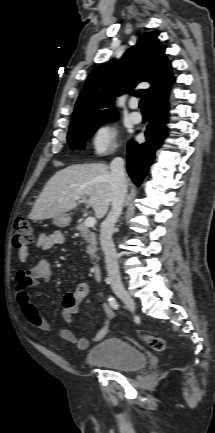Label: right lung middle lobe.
<instances>
[{
	"label": "right lung middle lobe",
	"instance_id": "obj_1",
	"mask_svg": "<svg viewBox=\"0 0 215 433\" xmlns=\"http://www.w3.org/2000/svg\"><path fill=\"white\" fill-rule=\"evenodd\" d=\"M114 118L115 117L71 124L67 137L71 149H82L84 147L85 141L94 133V131L99 128L103 122L107 120H114Z\"/></svg>",
	"mask_w": 215,
	"mask_h": 433
}]
</instances>
